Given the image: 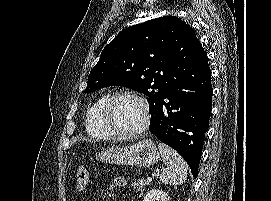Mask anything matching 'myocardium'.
<instances>
[{"label": "myocardium", "instance_id": "obj_1", "mask_svg": "<svg viewBox=\"0 0 271 201\" xmlns=\"http://www.w3.org/2000/svg\"><path fill=\"white\" fill-rule=\"evenodd\" d=\"M122 96H129L134 99H136L142 106L144 111V120L140 127L133 131H123L120 130L113 122L112 116H111V108L114 103V101ZM102 117L106 124V126L109 128L111 132H113L116 136L119 137H135L141 135L143 132H145L151 123V111L148 104L147 99L142 96L140 93H138L135 90L131 89H121L118 91H115L112 93L105 101L103 109H102Z\"/></svg>", "mask_w": 271, "mask_h": 201}]
</instances>
